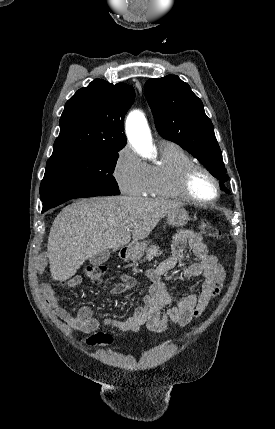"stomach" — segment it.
Instances as JSON below:
<instances>
[{"label": "stomach", "mask_w": 275, "mask_h": 429, "mask_svg": "<svg viewBox=\"0 0 275 429\" xmlns=\"http://www.w3.org/2000/svg\"><path fill=\"white\" fill-rule=\"evenodd\" d=\"M188 220L189 214L184 208H177L167 214V222L171 226H183ZM146 247V241L133 244L127 251L126 258L132 261L138 260L143 255Z\"/></svg>", "instance_id": "0dacf381"}]
</instances>
